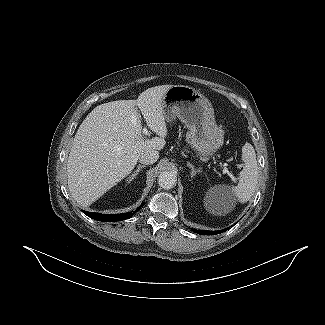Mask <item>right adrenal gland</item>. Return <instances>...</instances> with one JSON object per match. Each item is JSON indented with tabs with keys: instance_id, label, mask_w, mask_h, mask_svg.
<instances>
[{
	"instance_id": "2a0ac1e0",
	"label": "right adrenal gland",
	"mask_w": 325,
	"mask_h": 325,
	"mask_svg": "<svg viewBox=\"0 0 325 325\" xmlns=\"http://www.w3.org/2000/svg\"><path fill=\"white\" fill-rule=\"evenodd\" d=\"M146 167V165H138L137 169L134 173L129 177V183L139 174L142 168Z\"/></svg>"
}]
</instances>
